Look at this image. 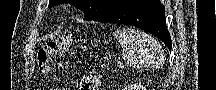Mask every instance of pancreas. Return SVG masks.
Wrapping results in <instances>:
<instances>
[{"label": "pancreas", "instance_id": "1", "mask_svg": "<svg viewBox=\"0 0 216 90\" xmlns=\"http://www.w3.org/2000/svg\"><path fill=\"white\" fill-rule=\"evenodd\" d=\"M104 68H107V65H104Z\"/></svg>", "mask_w": 216, "mask_h": 90}]
</instances>
